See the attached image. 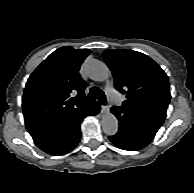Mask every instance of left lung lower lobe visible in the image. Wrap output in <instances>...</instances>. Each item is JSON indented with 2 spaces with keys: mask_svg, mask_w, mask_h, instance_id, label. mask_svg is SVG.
Wrapping results in <instances>:
<instances>
[{
  "mask_svg": "<svg viewBox=\"0 0 194 193\" xmlns=\"http://www.w3.org/2000/svg\"><path fill=\"white\" fill-rule=\"evenodd\" d=\"M111 112L119 121V131L110 141L123 150H139L147 146L156 135L161 123L145 118L121 107L113 106Z\"/></svg>",
  "mask_w": 194,
  "mask_h": 193,
  "instance_id": "left-lung-lower-lobe-1",
  "label": "left lung lower lobe"
}]
</instances>
